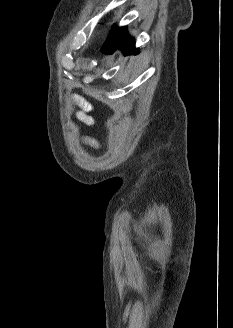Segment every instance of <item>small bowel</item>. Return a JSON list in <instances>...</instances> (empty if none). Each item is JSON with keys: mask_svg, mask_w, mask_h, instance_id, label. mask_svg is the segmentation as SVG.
I'll return each mask as SVG.
<instances>
[{"mask_svg": "<svg viewBox=\"0 0 233 328\" xmlns=\"http://www.w3.org/2000/svg\"><path fill=\"white\" fill-rule=\"evenodd\" d=\"M83 110L77 113V118L87 125H94L95 119L88 115V112L92 111V106L86 102L81 101Z\"/></svg>", "mask_w": 233, "mask_h": 328, "instance_id": "1", "label": "small bowel"}]
</instances>
